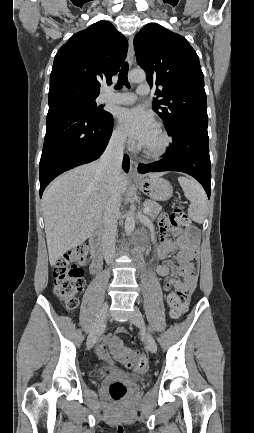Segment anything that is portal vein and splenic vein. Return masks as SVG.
I'll list each match as a JSON object with an SVG mask.
<instances>
[{
    "instance_id": "portal-vein-and-splenic-vein-1",
    "label": "portal vein and splenic vein",
    "mask_w": 254,
    "mask_h": 433,
    "mask_svg": "<svg viewBox=\"0 0 254 433\" xmlns=\"http://www.w3.org/2000/svg\"><path fill=\"white\" fill-rule=\"evenodd\" d=\"M148 212H149V207H148V206H145V208H144V213L147 214Z\"/></svg>"
}]
</instances>
